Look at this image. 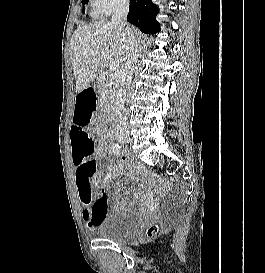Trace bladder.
<instances>
[{
  "instance_id": "obj_1",
  "label": "bladder",
  "mask_w": 265,
  "mask_h": 273,
  "mask_svg": "<svg viewBox=\"0 0 265 273\" xmlns=\"http://www.w3.org/2000/svg\"><path fill=\"white\" fill-rule=\"evenodd\" d=\"M140 227V217L135 212L116 211L106 214L93 228L99 239L123 242L134 237Z\"/></svg>"
}]
</instances>
